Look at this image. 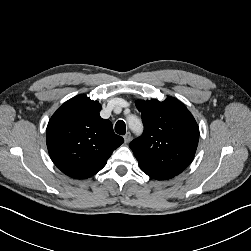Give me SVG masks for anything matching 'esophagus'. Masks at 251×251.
I'll return each instance as SVG.
<instances>
[{"label":"esophagus","instance_id":"34e87169","mask_svg":"<svg viewBox=\"0 0 251 251\" xmlns=\"http://www.w3.org/2000/svg\"><path fill=\"white\" fill-rule=\"evenodd\" d=\"M124 140L126 143H129L130 140H131V133L130 132H127L125 135H124Z\"/></svg>","mask_w":251,"mask_h":251}]
</instances>
